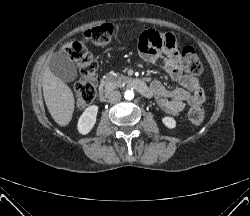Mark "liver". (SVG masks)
<instances>
[{"label": "liver", "mask_w": 250, "mask_h": 216, "mask_svg": "<svg viewBox=\"0 0 250 216\" xmlns=\"http://www.w3.org/2000/svg\"><path fill=\"white\" fill-rule=\"evenodd\" d=\"M42 88L46 106L54 121L60 126L68 125L75 104L72 90L55 76L48 66L43 73Z\"/></svg>", "instance_id": "liver-1"}]
</instances>
